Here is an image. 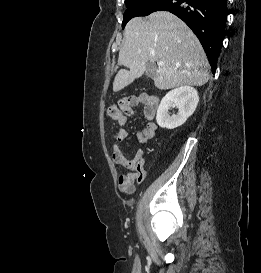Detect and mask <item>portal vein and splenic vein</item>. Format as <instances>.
<instances>
[{"mask_svg": "<svg viewBox=\"0 0 261 273\" xmlns=\"http://www.w3.org/2000/svg\"><path fill=\"white\" fill-rule=\"evenodd\" d=\"M158 66H163L164 65V62L160 61V62H157Z\"/></svg>", "mask_w": 261, "mask_h": 273, "instance_id": "portal-vein-and-splenic-vein-1", "label": "portal vein and splenic vein"}]
</instances>
